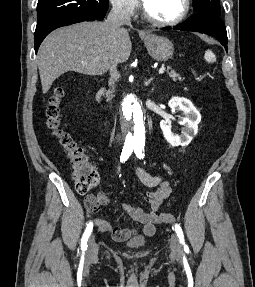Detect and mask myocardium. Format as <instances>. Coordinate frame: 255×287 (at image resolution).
I'll return each instance as SVG.
<instances>
[{"label": "myocardium", "instance_id": "1", "mask_svg": "<svg viewBox=\"0 0 255 287\" xmlns=\"http://www.w3.org/2000/svg\"><path fill=\"white\" fill-rule=\"evenodd\" d=\"M141 33H150V32H141ZM169 33H175V32H169ZM130 39H137V38H130ZM145 39H150V38H145ZM166 39H175V38H166ZM129 48H136V47H129ZM150 48V47H146Z\"/></svg>", "mask_w": 255, "mask_h": 287}]
</instances>
